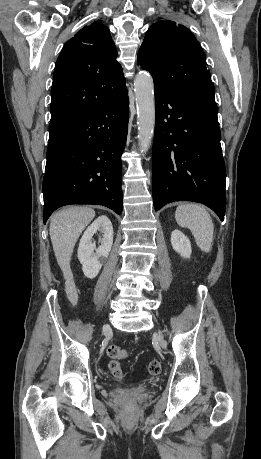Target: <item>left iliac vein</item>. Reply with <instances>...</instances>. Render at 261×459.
Instances as JSON below:
<instances>
[{
	"instance_id": "1",
	"label": "left iliac vein",
	"mask_w": 261,
	"mask_h": 459,
	"mask_svg": "<svg viewBox=\"0 0 261 459\" xmlns=\"http://www.w3.org/2000/svg\"><path fill=\"white\" fill-rule=\"evenodd\" d=\"M159 340H160L161 345H164V338L161 333H159Z\"/></svg>"
}]
</instances>
